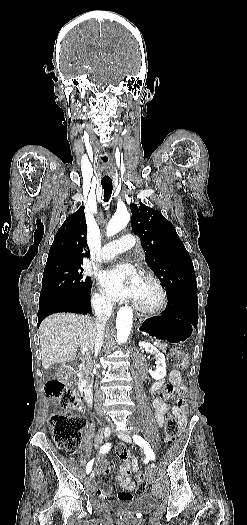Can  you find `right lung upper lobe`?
I'll return each mask as SVG.
<instances>
[{
    "mask_svg": "<svg viewBox=\"0 0 247 525\" xmlns=\"http://www.w3.org/2000/svg\"><path fill=\"white\" fill-rule=\"evenodd\" d=\"M87 227L84 207L71 214L58 229L50 247L44 271L80 266L84 257Z\"/></svg>",
    "mask_w": 247,
    "mask_h": 525,
    "instance_id": "obj_1",
    "label": "right lung upper lobe"
}]
</instances>
